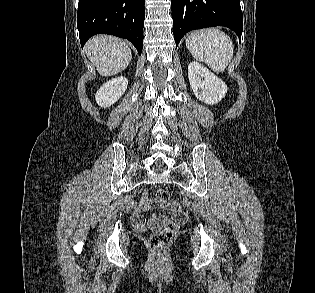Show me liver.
I'll return each mask as SVG.
<instances>
[{
    "label": "liver",
    "mask_w": 315,
    "mask_h": 293,
    "mask_svg": "<svg viewBox=\"0 0 315 293\" xmlns=\"http://www.w3.org/2000/svg\"><path fill=\"white\" fill-rule=\"evenodd\" d=\"M85 52L102 76L120 73L129 65L132 52L121 39L108 35L92 37L85 45Z\"/></svg>",
    "instance_id": "6515ba94"
}]
</instances>
